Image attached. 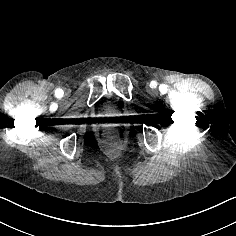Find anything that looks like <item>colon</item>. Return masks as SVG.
Masks as SVG:
<instances>
[{"label": "colon", "instance_id": "colon-1", "mask_svg": "<svg viewBox=\"0 0 236 236\" xmlns=\"http://www.w3.org/2000/svg\"><path fill=\"white\" fill-rule=\"evenodd\" d=\"M108 148H109V151H110L111 153H113V154L118 153L119 150H120V146H119L117 143H115V142L109 144V147H108Z\"/></svg>", "mask_w": 236, "mask_h": 236}]
</instances>
